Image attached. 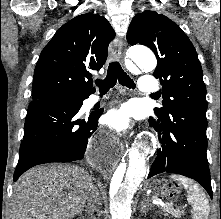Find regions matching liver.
Listing matches in <instances>:
<instances>
[{
	"mask_svg": "<svg viewBox=\"0 0 221 219\" xmlns=\"http://www.w3.org/2000/svg\"><path fill=\"white\" fill-rule=\"evenodd\" d=\"M92 179L75 165L34 167L14 184L9 219H72L97 189Z\"/></svg>",
	"mask_w": 221,
	"mask_h": 219,
	"instance_id": "1",
	"label": "liver"
}]
</instances>
